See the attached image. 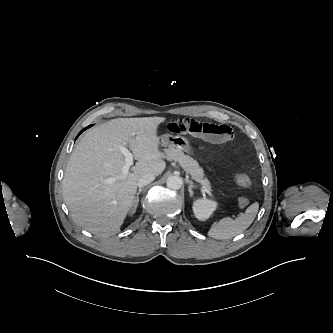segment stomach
<instances>
[{"instance_id": "0dacf381", "label": "stomach", "mask_w": 333, "mask_h": 333, "mask_svg": "<svg viewBox=\"0 0 333 333\" xmlns=\"http://www.w3.org/2000/svg\"><path fill=\"white\" fill-rule=\"evenodd\" d=\"M161 146L165 148L174 147L181 151L191 152L188 140L182 136H173L165 134L159 138Z\"/></svg>"}]
</instances>
